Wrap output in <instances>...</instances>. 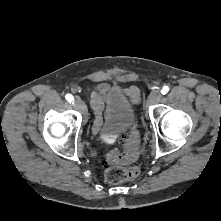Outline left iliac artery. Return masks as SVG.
<instances>
[{"instance_id": "44dca946", "label": "left iliac artery", "mask_w": 221, "mask_h": 221, "mask_svg": "<svg viewBox=\"0 0 221 221\" xmlns=\"http://www.w3.org/2000/svg\"><path fill=\"white\" fill-rule=\"evenodd\" d=\"M170 88L168 86H163L161 89L162 94H167L169 92Z\"/></svg>"}]
</instances>
